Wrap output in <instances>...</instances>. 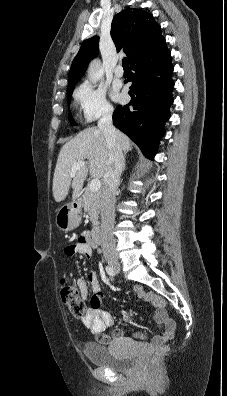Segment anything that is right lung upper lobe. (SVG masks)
I'll use <instances>...</instances> for the list:
<instances>
[{"label": "right lung upper lobe", "instance_id": "obj_1", "mask_svg": "<svg viewBox=\"0 0 227 396\" xmlns=\"http://www.w3.org/2000/svg\"><path fill=\"white\" fill-rule=\"evenodd\" d=\"M111 36L117 51L123 49L129 62L142 51L165 40L153 15L140 9L127 8L116 14L111 25ZM99 37L86 39L74 58L69 72L67 91L84 75L88 63L98 54Z\"/></svg>", "mask_w": 227, "mask_h": 396}]
</instances>
